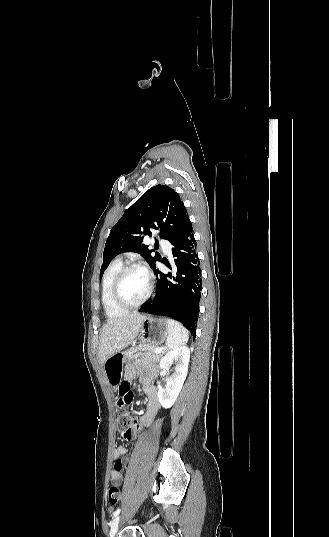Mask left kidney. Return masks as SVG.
<instances>
[{
    "label": "left kidney",
    "instance_id": "5707ae66",
    "mask_svg": "<svg viewBox=\"0 0 329 537\" xmlns=\"http://www.w3.org/2000/svg\"><path fill=\"white\" fill-rule=\"evenodd\" d=\"M189 359L190 350L186 346L171 350L161 358L159 366L165 370L176 363L173 374L166 379L165 389H160L157 394L163 408H170L175 403L187 376Z\"/></svg>",
    "mask_w": 329,
    "mask_h": 537
}]
</instances>
